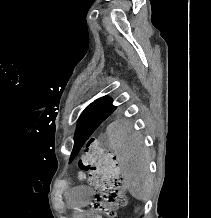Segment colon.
Instances as JSON below:
<instances>
[{
	"label": "colon",
	"instance_id": "colon-1",
	"mask_svg": "<svg viewBox=\"0 0 211 218\" xmlns=\"http://www.w3.org/2000/svg\"><path fill=\"white\" fill-rule=\"evenodd\" d=\"M79 177L88 178L96 190L93 208L109 216L127 204L125 184L116 156L92 138L79 161Z\"/></svg>",
	"mask_w": 211,
	"mask_h": 218
}]
</instances>
